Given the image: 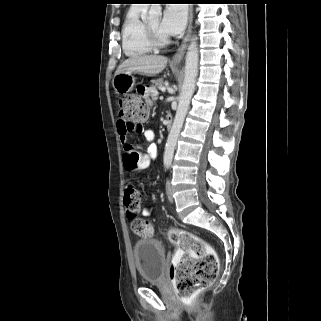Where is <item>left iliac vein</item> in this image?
I'll use <instances>...</instances> for the list:
<instances>
[{
    "instance_id": "1",
    "label": "left iliac vein",
    "mask_w": 321,
    "mask_h": 321,
    "mask_svg": "<svg viewBox=\"0 0 321 321\" xmlns=\"http://www.w3.org/2000/svg\"><path fill=\"white\" fill-rule=\"evenodd\" d=\"M166 193H167V198L170 202H173V192H172V186L170 180L167 181L166 183Z\"/></svg>"
}]
</instances>
